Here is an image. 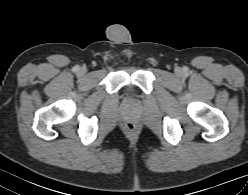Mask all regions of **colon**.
<instances>
[{
    "label": "colon",
    "mask_w": 248,
    "mask_h": 195,
    "mask_svg": "<svg viewBox=\"0 0 248 195\" xmlns=\"http://www.w3.org/2000/svg\"><path fill=\"white\" fill-rule=\"evenodd\" d=\"M127 128H128L129 130H133L134 127H133L131 124H128V125H127Z\"/></svg>",
    "instance_id": "colon-1"
}]
</instances>
